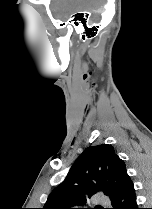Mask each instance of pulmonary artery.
<instances>
[{"label":"pulmonary artery","instance_id":"e3ab8cb5","mask_svg":"<svg viewBox=\"0 0 152 209\" xmlns=\"http://www.w3.org/2000/svg\"><path fill=\"white\" fill-rule=\"evenodd\" d=\"M93 203L103 206V205L108 204V200L105 197L96 195L93 198Z\"/></svg>","mask_w":152,"mask_h":209}]
</instances>
